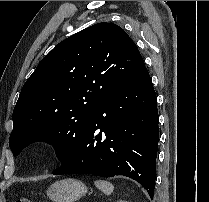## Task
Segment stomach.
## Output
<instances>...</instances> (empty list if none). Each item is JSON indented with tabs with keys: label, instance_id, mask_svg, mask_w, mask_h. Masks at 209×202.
Masks as SVG:
<instances>
[{
	"label": "stomach",
	"instance_id": "0dacf381",
	"mask_svg": "<svg viewBox=\"0 0 209 202\" xmlns=\"http://www.w3.org/2000/svg\"><path fill=\"white\" fill-rule=\"evenodd\" d=\"M46 192L53 202H75L87 193V187L83 182L69 178L56 181Z\"/></svg>",
	"mask_w": 209,
	"mask_h": 202
}]
</instances>
